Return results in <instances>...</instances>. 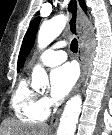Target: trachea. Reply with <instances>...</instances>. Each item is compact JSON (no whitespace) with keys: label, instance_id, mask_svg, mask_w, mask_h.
I'll return each mask as SVG.
<instances>
[{"label":"trachea","instance_id":"3493384b","mask_svg":"<svg viewBox=\"0 0 112 135\" xmlns=\"http://www.w3.org/2000/svg\"><path fill=\"white\" fill-rule=\"evenodd\" d=\"M71 51L74 53L78 51V42L76 39H73L71 42Z\"/></svg>","mask_w":112,"mask_h":135}]
</instances>
